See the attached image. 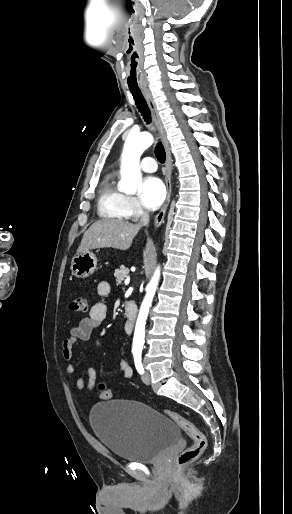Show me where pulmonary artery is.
Listing matches in <instances>:
<instances>
[{
	"label": "pulmonary artery",
	"instance_id": "e3ab8cb5",
	"mask_svg": "<svg viewBox=\"0 0 292 514\" xmlns=\"http://www.w3.org/2000/svg\"><path fill=\"white\" fill-rule=\"evenodd\" d=\"M141 168L144 172H155L158 168L156 159L154 157H145L142 160Z\"/></svg>",
	"mask_w": 292,
	"mask_h": 514
}]
</instances>
